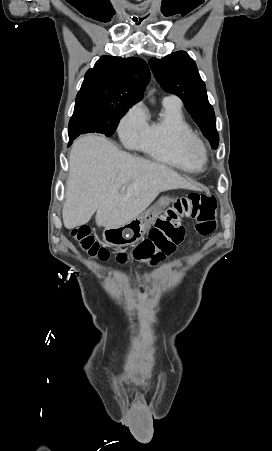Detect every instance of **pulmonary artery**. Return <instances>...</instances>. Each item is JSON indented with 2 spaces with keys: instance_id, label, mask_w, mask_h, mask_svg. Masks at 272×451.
<instances>
[{
  "instance_id": "obj_1",
  "label": "pulmonary artery",
  "mask_w": 272,
  "mask_h": 451,
  "mask_svg": "<svg viewBox=\"0 0 272 451\" xmlns=\"http://www.w3.org/2000/svg\"><path fill=\"white\" fill-rule=\"evenodd\" d=\"M163 103L171 104L175 107L181 108L182 103L181 100L174 95H168L163 98Z\"/></svg>"
}]
</instances>
